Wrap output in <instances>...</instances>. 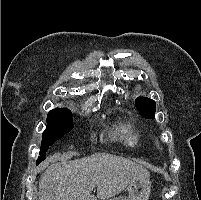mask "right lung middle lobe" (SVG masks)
Listing matches in <instances>:
<instances>
[{
	"instance_id": "1",
	"label": "right lung middle lobe",
	"mask_w": 201,
	"mask_h": 200,
	"mask_svg": "<svg viewBox=\"0 0 201 200\" xmlns=\"http://www.w3.org/2000/svg\"><path fill=\"white\" fill-rule=\"evenodd\" d=\"M73 118L68 109H53L47 115V127L42 134L40 156L37 164L44 159L49 146L73 129Z\"/></svg>"
}]
</instances>
